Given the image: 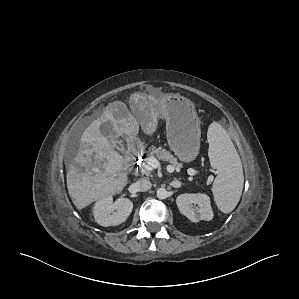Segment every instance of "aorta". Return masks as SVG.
<instances>
[{
    "label": "aorta",
    "mask_w": 299,
    "mask_h": 299,
    "mask_svg": "<svg viewBox=\"0 0 299 299\" xmlns=\"http://www.w3.org/2000/svg\"><path fill=\"white\" fill-rule=\"evenodd\" d=\"M156 195L159 199H166L168 197V191L165 188H158Z\"/></svg>",
    "instance_id": "obj_1"
}]
</instances>
